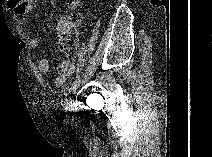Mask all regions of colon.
I'll return each instance as SVG.
<instances>
[{
  "label": "colon",
  "mask_w": 212,
  "mask_h": 157,
  "mask_svg": "<svg viewBox=\"0 0 212 157\" xmlns=\"http://www.w3.org/2000/svg\"><path fill=\"white\" fill-rule=\"evenodd\" d=\"M66 19L68 27L58 35V47L65 57L75 59L79 54L78 27L82 22V13L71 11Z\"/></svg>",
  "instance_id": "colon-1"
}]
</instances>
